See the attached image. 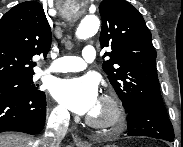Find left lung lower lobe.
I'll return each instance as SVG.
<instances>
[{
	"instance_id": "left-lung-lower-lobe-1",
	"label": "left lung lower lobe",
	"mask_w": 183,
	"mask_h": 147,
	"mask_svg": "<svg viewBox=\"0 0 183 147\" xmlns=\"http://www.w3.org/2000/svg\"><path fill=\"white\" fill-rule=\"evenodd\" d=\"M126 113L128 135L174 140L173 127L163 103H139Z\"/></svg>"
}]
</instances>
